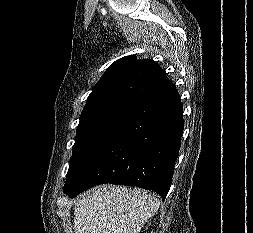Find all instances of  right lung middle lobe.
I'll return each instance as SVG.
<instances>
[{
    "label": "right lung middle lobe",
    "mask_w": 253,
    "mask_h": 233,
    "mask_svg": "<svg viewBox=\"0 0 253 233\" xmlns=\"http://www.w3.org/2000/svg\"><path fill=\"white\" fill-rule=\"evenodd\" d=\"M134 103L135 101L127 99H112L84 107L77 128L67 177L126 115Z\"/></svg>",
    "instance_id": "obj_1"
}]
</instances>
